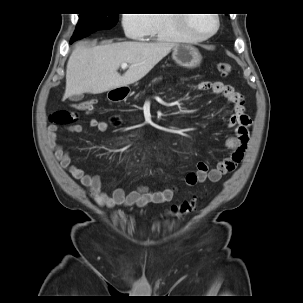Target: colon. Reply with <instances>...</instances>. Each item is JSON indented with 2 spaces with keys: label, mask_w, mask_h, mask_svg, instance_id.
<instances>
[{
  "label": "colon",
  "mask_w": 303,
  "mask_h": 303,
  "mask_svg": "<svg viewBox=\"0 0 303 303\" xmlns=\"http://www.w3.org/2000/svg\"><path fill=\"white\" fill-rule=\"evenodd\" d=\"M217 68L222 75H228L231 71V66L227 62L218 63ZM96 102L97 101L95 99H90L75 105L81 110L90 111L92 110ZM75 121H76L75 113L65 109L56 111L50 116V122L53 124L68 125L74 123ZM195 209H196V199L192 198L190 200H185L179 204L173 205L171 207V212L174 215L179 216V215L189 214L193 212Z\"/></svg>",
  "instance_id": "1"
}]
</instances>
